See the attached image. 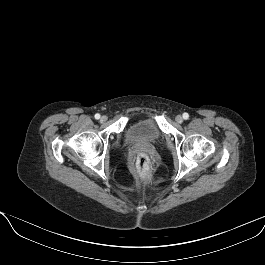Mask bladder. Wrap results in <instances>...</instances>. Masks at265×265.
<instances>
[{"label": "bladder", "mask_w": 265, "mask_h": 265, "mask_svg": "<svg viewBox=\"0 0 265 265\" xmlns=\"http://www.w3.org/2000/svg\"><path fill=\"white\" fill-rule=\"evenodd\" d=\"M161 136L160 127L153 118L132 122L124 132L125 140L132 144H156Z\"/></svg>", "instance_id": "1"}]
</instances>
